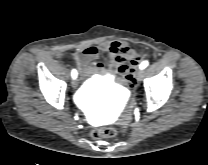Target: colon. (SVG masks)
Instances as JSON below:
<instances>
[{
    "instance_id": "1",
    "label": "colon",
    "mask_w": 208,
    "mask_h": 165,
    "mask_svg": "<svg viewBox=\"0 0 208 165\" xmlns=\"http://www.w3.org/2000/svg\"><path fill=\"white\" fill-rule=\"evenodd\" d=\"M135 65L140 63L138 58L133 60ZM123 82L130 90H135L137 88V79L134 75V69L132 67H126L124 72ZM115 84V83H114ZM116 85V84H115ZM94 139H104V138H113L117 135V131L114 128H96L91 133Z\"/></svg>"
}]
</instances>
